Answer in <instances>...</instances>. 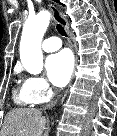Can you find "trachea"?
I'll return each instance as SVG.
<instances>
[{
    "label": "trachea",
    "mask_w": 117,
    "mask_h": 136,
    "mask_svg": "<svg viewBox=\"0 0 117 136\" xmlns=\"http://www.w3.org/2000/svg\"><path fill=\"white\" fill-rule=\"evenodd\" d=\"M56 28H57L58 32H59L62 36H65V37L67 36V34H66L64 28L62 27V25L57 24V25H56Z\"/></svg>",
    "instance_id": "3493384b"
}]
</instances>
